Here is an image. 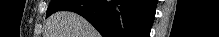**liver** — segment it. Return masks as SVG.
Segmentation results:
<instances>
[{
    "mask_svg": "<svg viewBox=\"0 0 219 37\" xmlns=\"http://www.w3.org/2000/svg\"><path fill=\"white\" fill-rule=\"evenodd\" d=\"M47 26L46 37H99L88 21L71 11L53 14Z\"/></svg>",
    "mask_w": 219,
    "mask_h": 37,
    "instance_id": "obj_1",
    "label": "liver"
}]
</instances>
